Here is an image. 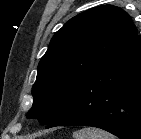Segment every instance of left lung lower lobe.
Instances as JSON below:
<instances>
[{"instance_id":"0a47b994","label":"left lung lower lobe","mask_w":141,"mask_h":139,"mask_svg":"<svg viewBox=\"0 0 141 139\" xmlns=\"http://www.w3.org/2000/svg\"><path fill=\"white\" fill-rule=\"evenodd\" d=\"M55 126H93L121 139H141L140 36L83 81L46 128Z\"/></svg>"}]
</instances>
